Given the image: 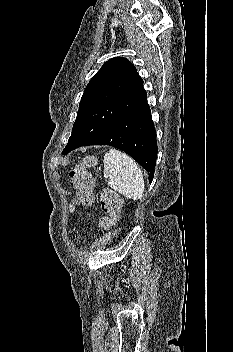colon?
<instances>
[{
  "label": "colon",
  "mask_w": 233,
  "mask_h": 352,
  "mask_svg": "<svg viewBox=\"0 0 233 352\" xmlns=\"http://www.w3.org/2000/svg\"><path fill=\"white\" fill-rule=\"evenodd\" d=\"M96 164L95 156L86 155L69 172L72 187L77 193V200L83 205L94 202V178L89 169L94 168ZM100 203L105 215L99 219L97 226L101 230H109L119 221L122 199L114 190L105 187L100 194Z\"/></svg>",
  "instance_id": "obj_1"
}]
</instances>
